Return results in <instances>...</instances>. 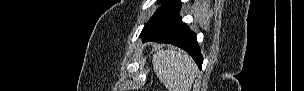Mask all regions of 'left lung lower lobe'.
<instances>
[{"label": "left lung lower lobe", "instance_id": "obj_1", "mask_svg": "<svg viewBox=\"0 0 304 91\" xmlns=\"http://www.w3.org/2000/svg\"><path fill=\"white\" fill-rule=\"evenodd\" d=\"M180 8V0L169 1L152 27L141 37L143 42L155 41L157 43L172 44L187 51L201 69L203 58L197 43L196 34L179 17Z\"/></svg>", "mask_w": 304, "mask_h": 91}]
</instances>
